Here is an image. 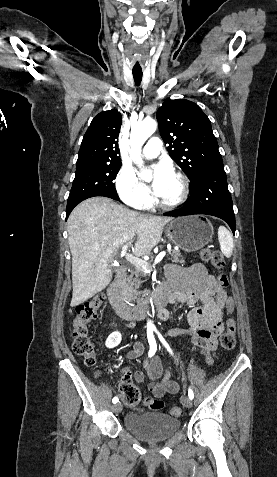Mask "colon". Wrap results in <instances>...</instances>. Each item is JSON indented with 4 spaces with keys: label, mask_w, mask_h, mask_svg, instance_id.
Segmentation results:
<instances>
[{
    "label": "colon",
    "mask_w": 277,
    "mask_h": 477,
    "mask_svg": "<svg viewBox=\"0 0 277 477\" xmlns=\"http://www.w3.org/2000/svg\"><path fill=\"white\" fill-rule=\"evenodd\" d=\"M201 258L203 261L210 263L218 270L222 269L225 265L224 257L218 250L205 248L201 251ZM217 279L221 286L226 287L228 285V277L224 273L218 274ZM103 301L104 295L98 293L91 300L85 301L75 308V317L71 327V336L73 339L72 347L74 352L81 356L88 366H95L97 363V357L94 346L88 337L87 325L97 318L98 309ZM235 305V297L229 296L223 306L224 311L227 312L229 316L226 320L227 329L222 334L220 343L222 349L227 351L232 350L236 344V320L232 316L236 309ZM120 393L127 406L131 408H137L140 406L142 402L140 389L130 380H125L121 383ZM144 404L153 411L161 410L164 406L162 400L155 398H146ZM170 413L173 416H180L181 409L179 407H173L170 410Z\"/></svg>",
    "instance_id": "1"
}]
</instances>
